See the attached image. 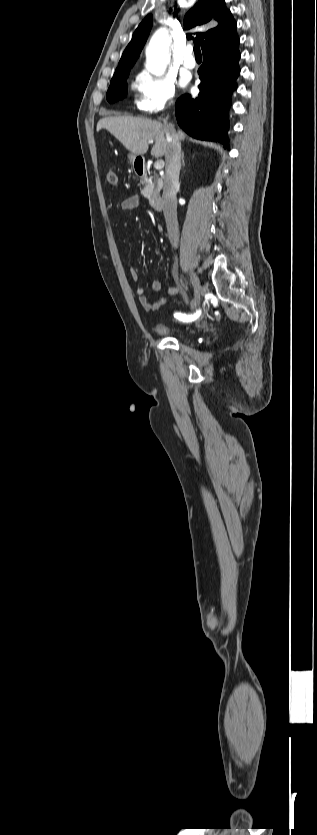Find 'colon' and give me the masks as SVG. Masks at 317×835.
<instances>
[{"label": "colon", "instance_id": "1", "mask_svg": "<svg viewBox=\"0 0 317 835\" xmlns=\"http://www.w3.org/2000/svg\"><path fill=\"white\" fill-rule=\"evenodd\" d=\"M107 181H108V183H109V184H111V185H116V184H117L118 177H117V174H116V172H115V171H113V170L108 171V173H107Z\"/></svg>", "mask_w": 317, "mask_h": 835}]
</instances>
